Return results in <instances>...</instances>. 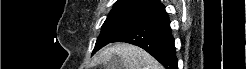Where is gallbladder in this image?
<instances>
[{"label":"gallbladder","instance_id":"obj_1","mask_svg":"<svg viewBox=\"0 0 246 69\" xmlns=\"http://www.w3.org/2000/svg\"><path fill=\"white\" fill-rule=\"evenodd\" d=\"M120 67L119 63V57L117 55H114L111 60L105 64L106 69H116Z\"/></svg>","mask_w":246,"mask_h":69}]
</instances>
